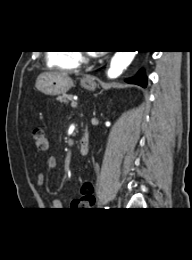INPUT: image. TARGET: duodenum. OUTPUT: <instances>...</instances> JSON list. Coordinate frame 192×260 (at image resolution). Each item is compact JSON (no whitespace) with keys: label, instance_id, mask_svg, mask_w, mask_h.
<instances>
[{"label":"duodenum","instance_id":"410a0bca","mask_svg":"<svg viewBox=\"0 0 192 260\" xmlns=\"http://www.w3.org/2000/svg\"><path fill=\"white\" fill-rule=\"evenodd\" d=\"M90 148V137L88 133H85L80 139L78 151L81 155H87Z\"/></svg>","mask_w":192,"mask_h":260}]
</instances>
